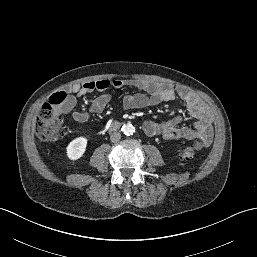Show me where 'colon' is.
Wrapping results in <instances>:
<instances>
[{
  "instance_id": "5ec220e1",
  "label": "colon",
  "mask_w": 257,
  "mask_h": 257,
  "mask_svg": "<svg viewBox=\"0 0 257 257\" xmlns=\"http://www.w3.org/2000/svg\"><path fill=\"white\" fill-rule=\"evenodd\" d=\"M68 99L69 95L67 92L60 91L53 94L49 101L41 107L34 125L35 131L41 140L54 142L63 136V115L67 112L66 105ZM205 146V141L197 140L191 148L182 151L179 157L182 160H188L195 152L204 149Z\"/></svg>"
}]
</instances>
